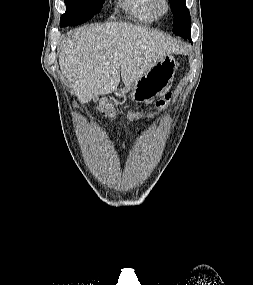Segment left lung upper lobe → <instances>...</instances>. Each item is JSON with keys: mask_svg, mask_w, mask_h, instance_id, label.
Instances as JSON below:
<instances>
[{"mask_svg": "<svg viewBox=\"0 0 253 285\" xmlns=\"http://www.w3.org/2000/svg\"><path fill=\"white\" fill-rule=\"evenodd\" d=\"M170 5L174 15L173 33L188 38L191 34V18L185 0H170Z\"/></svg>", "mask_w": 253, "mask_h": 285, "instance_id": "left-lung-upper-lobe-1", "label": "left lung upper lobe"}]
</instances>
